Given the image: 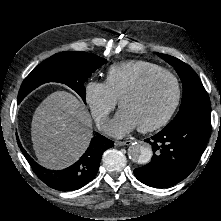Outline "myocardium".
I'll return each mask as SVG.
<instances>
[{
	"mask_svg": "<svg viewBox=\"0 0 221 221\" xmlns=\"http://www.w3.org/2000/svg\"><path fill=\"white\" fill-rule=\"evenodd\" d=\"M162 76L170 78L174 84L175 94H174V99H173L172 105H171L170 109L168 110V112L159 121H157L151 125L139 126L138 130L140 132L147 133V132H152V131H156L158 129H161L162 127L167 125L169 123V121L172 119V117L174 116V114L180 104V100H181L182 90H181V84H180L179 79L177 78V76L175 74H173L172 72H170L168 70L163 69V70H159V71H154V72H151V73L145 75L143 78H141L134 85H132L131 87L126 89L118 98V106L120 107L123 99L142 92L151 81H153L154 79H156L158 77H162Z\"/></svg>",
	"mask_w": 221,
	"mask_h": 221,
	"instance_id": "obj_1",
	"label": "myocardium"
}]
</instances>
